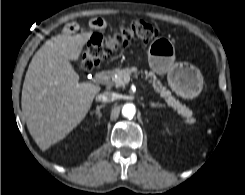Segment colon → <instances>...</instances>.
Instances as JSON below:
<instances>
[{
    "label": "colon",
    "instance_id": "5ec220e1",
    "mask_svg": "<svg viewBox=\"0 0 245 195\" xmlns=\"http://www.w3.org/2000/svg\"><path fill=\"white\" fill-rule=\"evenodd\" d=\"M157 36L154 26L143 20H135L129 25L121 26L109 37L95 35L85 47L78 62L80 70H90L109 58L113 52L131 40L150 42Z\"/></svg>",
    "mask_w": 245,
    "mask_h": 195
}]
</instances>
